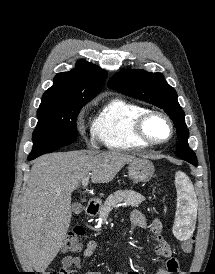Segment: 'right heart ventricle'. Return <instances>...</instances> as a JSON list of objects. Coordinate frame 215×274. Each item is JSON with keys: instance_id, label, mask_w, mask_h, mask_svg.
Listing matches in <instances>:
<instances>
[{"instance_id": "e07e8e85", "label": "right heart ventricle", "mask_w": 215, "mask_h": 274, "mask_svg": "<svg viewBox=\"0 0 215 274\" xmlns=\"http://www.w3.org/2000/svg\"><path fill=\"white\" fill-rule=\"evenodd\" d=\"M147 111L143 106L121 98L107 102L95 116L91 133L108 149L127 150L148 146L135 133L137 118Z\"/></svg>"}]
</instances>
